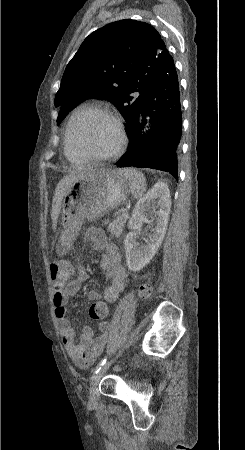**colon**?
<instances>
[{
    "mask_svg": "<svg viewBox=\"0 0 245 450\" xmlns=\"http://www.w3.org/2000/svg\"><path fill=\"white\" fill-rule=\"evenodd\" d=\"M52 268L54 269V273L58 267H60L59 262L57 260H53L51 262ZM152 291V286L149 282H144L141 284L138 295L142 299H146L150 296ZM89 315L92 319L100 321L108 317L109 308L107 304L103 301L93 302L89 309Z\"/></svg>",
    "mask_w": 245,
    "mask_h": 450,
    "instance_id": "1",
    "label": "colon"
}]
</instances>
